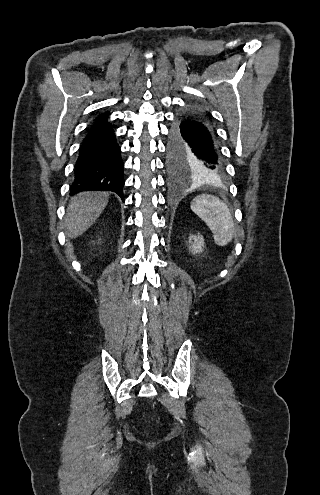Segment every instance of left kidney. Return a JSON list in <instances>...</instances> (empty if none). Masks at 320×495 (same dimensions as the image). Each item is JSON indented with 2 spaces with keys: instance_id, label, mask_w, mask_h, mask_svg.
<instances>
[{
  "instance_id": "obj_1",
  "label": "left kidney",
  "mask_w": 320,
  "mask_h": 495,
  "mask_svg": "<svg viewBox=\"0 0 320 495\" xmlns=\"http://www.w3.org/2000/svg\"><path fill=\"white\" fill-rule=\"evenodd\" d=\"M191 240H194L192 242ZM189 242L191 243L190 250L193 252V254H197L203 251L204 247V239L202 236H190Z\"/></svg>"
}]
</instances>
